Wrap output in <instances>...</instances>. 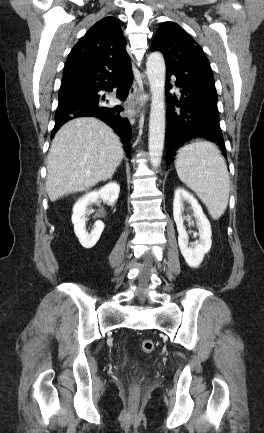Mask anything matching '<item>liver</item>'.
<instances>
[{"mask_svg": "<svg viewBox=\"0 0 264 433\" xmlns=\"http://www.w3.org/2000/svg\"><path fill=\"white\" fill-rule=\"evenodd\" d=\"M123 157L119 137L105 123L92 117L69 121L49 150L46 190L51 202L107 180Z\"/></svg>", "mask_w": 264, "mask_h": 433, "instance_id": "6515ba94", "label": "liver"}]
</instances>
